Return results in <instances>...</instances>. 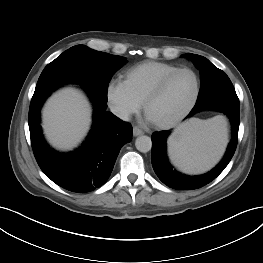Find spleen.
I'll return each mask as SVG.
<instances>
[{
    "mask_svg": "<svg viewBox=\"0 0 263 263\" xmlns=\"http://www.w3.org/2000/svg\"><path fill=\"white\" fill-rule=\"evenodd\" d=\"M227 139V122L223 116L208 120L192 118L169 138V156L185 173L205 172L218 162Z\"/></svg>",
    "mask_w": 263,
    "mask_h": 263,
    "instance_id": "spleen-1",
    "label": "spleen"
}]
</instances>
